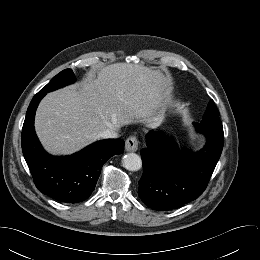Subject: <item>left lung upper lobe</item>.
<instances>
[{
  "label": "left lung upper lobe",
  "instance_id": "left-lung-upper-lobe-1",
  "mask_svg": "<svg viewBox=\"0 0 260 260\" xmlns=\"http://www.w3.org/2000/svg\"><path fill=\"white\" fill-rule=\"evenodd\" d=\"M196 125L223 129L222 123L219 118V112L213 100L209 102L202 121L200 123H196Z\"/></svg>",
  "mask_w": 260,
  "mask_h": 260
}]
</instances>
